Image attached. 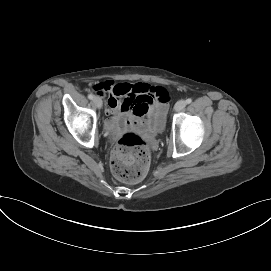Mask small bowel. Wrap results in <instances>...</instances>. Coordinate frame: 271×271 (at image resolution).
I'll list each match as a JSON object with an SVG mask.
<instances>
[{
	"instance_id": "c3829d8e",
	"label": "small bowel",
	"mask_w": 271,
	"mask_h": 271,
	"mask_svg": "<svg viewBox=\"0 0 271 271\" xmlns=\"http://www.w3.org/2000/svg\"><path fill=\"white\" fill-rule=\"evenodd\" d=\"M95 88L106 101L109 131L116 132L124 126L141 128L163 121L169 95L162 87L105 81Z\"/></svg>"
}]
</instances>
